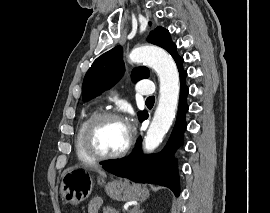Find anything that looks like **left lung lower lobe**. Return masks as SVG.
<instances>
[{
    "instance_id": "1",
    "label": "left lung lower lobe",
    "mask_w": 270,
    "mask_h": 213,
    "mask_svg": "<svg viewBox=\"0 0 270 213\" xmlns=\"http://www.w3.org/2000/svg\"><path fill=\"white\" fill-rule=\"evenodd\" d=\"M187 72L180 71V102L176 124L166 148L157 155H142L140 141L136 149L123 159H117L103 165L108 172L128 178L139 183H154L170 188L176 196H179V182L176 162L172 160L175 149L183 143V131L186 128L185 113L188 110L186 96L188 88L185 85ZM148 118V114L141 120Z\"/></svg>"
}]
</instances>
